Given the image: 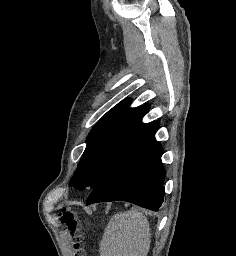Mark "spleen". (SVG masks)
Masks as SVG:
<instances>
[{"label":"spleen","instance_id":"1","mask_svg":"<svg viewBox=\"0 0 236 256\" xmlns=\"http://www.w3.org/2000/svg\"><path fill=\"white\" fill-rule=\"evenodd\" d=\"M150 236V224L137 208L118 212L104 230L100 256H148Z\"/></svg>","mask_w":236,"mask_h":256}]
</instances>
